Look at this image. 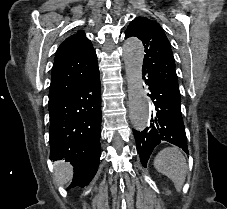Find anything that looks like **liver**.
Returning <instances> with one entry per match:
<instances>
[{
    "label": "liver",
    "mask_w": 227,
    "mask_h": 209,
    "mask_svg": "<svg viewBox=\"0 0 227 209\" xmlns=\"http://www.w3.org/2000/svg\"><path fill=\"white\" fill-rule=\"evenodd\" d=\"M54 169L58 185H65V183H67V179H69V177H71L72 175L71 165H68V163H60V161H56Z\"/></svg>",
    "instance_id": "liver-1"
}]
</instances>
